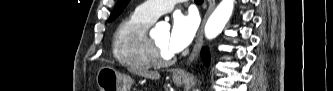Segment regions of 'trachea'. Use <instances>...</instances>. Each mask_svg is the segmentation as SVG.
<instances>
[{"instance_id": "trachea-1", "label": "trachea", "mask_w": 333, "mask_h": 91, "mask_svg": "<svg viewBox=\"0 0 333 91\" xmlns=\"http://www.w3.org/2000/svg\"><path fill=\"white\" fill-rule=\"evenodd\" d=\"M196 3H203V0H195Z\"/></svg>"}]
</instances>
